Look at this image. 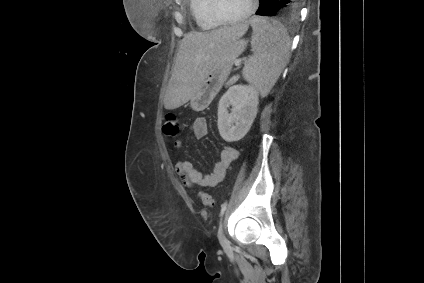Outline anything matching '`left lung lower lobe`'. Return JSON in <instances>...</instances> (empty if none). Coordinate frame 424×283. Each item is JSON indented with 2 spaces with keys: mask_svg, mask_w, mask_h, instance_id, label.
<instances>
[{
  "mask_svg": "<svg viewBox=\"0 0 424 283\" xmlns=\"http://www.w3.org/2000/svg\"><path fill=\"white\" fill-rule=\"evenodd\" d=\"M301 0H259L256 15L275 16L279 12H295L300 7Z\"/></svg>",
  "mask_w": 424,
  "mask_h": 283,
  "instance_id": "left-lung-lower-lobe-1",
  "label": "left lung lower lobe"
}]
</instances>
